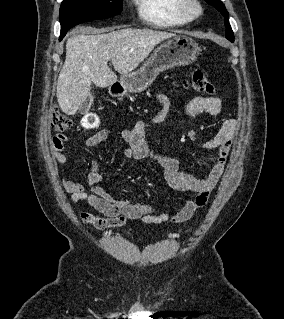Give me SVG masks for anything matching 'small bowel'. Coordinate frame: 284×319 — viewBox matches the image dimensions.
<instances>
[{
	"label": "small bowel",
	"instance_id": "small-bowel-1",
	"mask_svg": "<svg viewBox=\"0 0 284 319\" xmlns=\"http://www.w3.org/2000/svg\"><path fill=\"white\" fill-rule=\"evenodd\" d=\"M157 101L159 109L153 119L158 122L164 119L169 101L163 94L158 96ZM186 112L190 116H197L203 112L219 115L222 112V101L212 97H195L186 105ZM237 130L236 120L225 119L215 135L203 144L206 151H214L218 154L215 164L203 177L188 174L180 169L175 158L151 150L145 141L142 121L137 122L132 129L120 131V136L128 144V147L123 150L126 158L155 160L164 169L166 182L172 189L190 194L183 207L174 214L159 212L148 204L133 202L127 198L115 199L100 185L103 176L99 161L92 163L91 171L84 182L67 178H62L61 181L72 203L84 201L94 210L81 212L80 220L96 229L108 230L120 227L128 220H141L146 224L183 223L207 204L212 190L223 175ZM113 134L112 129H103L90 136L86 140V145L91 148L96 147ZM67 140V136L63 133L55 135L52 139L51 151L57 163L64 164L68 161L69 156L65 152Z\"/></svg>",
	"mask_w": 284,
	"mask_h": 319
}]
</instances>
